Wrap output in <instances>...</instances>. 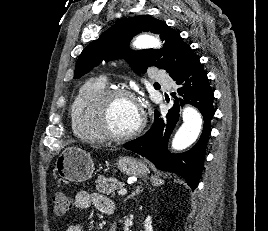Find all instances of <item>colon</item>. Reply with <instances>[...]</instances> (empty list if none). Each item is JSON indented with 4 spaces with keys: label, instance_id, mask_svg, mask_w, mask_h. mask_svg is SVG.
<instances>
[{
    "label": "colon",
    "instance_id": "5ec220e1",
    "mask_svg": "<svg viewBox=\"0 0 268 231\" xmlns=\"http://www.w3.org/2000/svg\"><path fill=\"white\" fill-rule=\"evenodd\" d=\"M54 211L57 215H63L70 209V198L63 192H56L53 196Z\"/></svg>",
    "mask_w": 268,
    "mask_h": 231
}]
</instances>
